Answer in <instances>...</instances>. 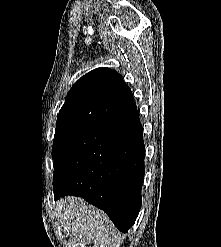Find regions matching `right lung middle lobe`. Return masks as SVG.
Instances as JSON below:
<instances>
[{"label":"right lung middle lobe","instance_id":"obj_1","mask_svg":"<svg viewBox=\"0 0 221 247\" xmlns=\"http://www.w3.org/2000/svg\"><path fill=\"white\" fill-rule=\"evenodd\" d=\"M87 128L85 127H65L59 128L55 131L54 141H53V160L54 164L60 157L62 151L66 146L80 133H82Z\"/></svg>","mask_w":221,"mask_h":247}]
</instances>
